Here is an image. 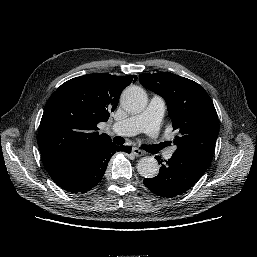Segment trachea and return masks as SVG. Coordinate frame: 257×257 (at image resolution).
Here are the masks:
<instances>
[{
	"instance_id": "trachea-1",
	"label": "trachea",
	"mask_w": 257,
	"mask_h": 257,
	"mask_svg": "<svg viewBox=\"0 0 257 257\" xmlns=\"http://www.w3.org/2000/svg\"><path fill=\"white\" fill-rule=\"evenodd\" d=\"M113 142L118 145H122L124 143V139L120 136H116L113 139Z\"/></svg>"
}]
</instances>
